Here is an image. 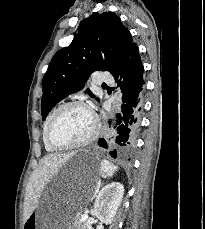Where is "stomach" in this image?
I'll list each match as a JSON object with an SVG mask.
<instances>
[{
  "label": "stomach",
  "mask_w": 205,
  "mask_h": 229,
  "mask_svg": "<svg viewBox=\"0 0 205 229\" xmlns=\"http://www.w3.org/2000/svg\"><path fill=\"white\" fill-rule=\"evenodd\" d=\"M101 173L92 152L75 154L24 222L23 229H74Z\"/></svg>",
  "instance_id": "1"
}]
</instances>
